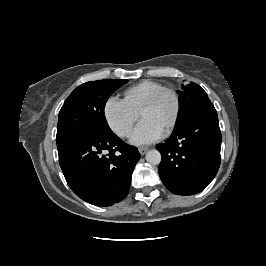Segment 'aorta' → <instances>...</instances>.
Here are the masks:
<instances>
[{"mask_svg": "<svg viewBox=\"0 0 266 266\" xmlns=\"http://www.w3.org/2000/svg\"><path fill=\"white\" fill-rule=\"evenodd\" d=\"M146 161L152 165H157L161 162V154L157 150H150L146 153Z\"/></svg>", "mask_w": 266, "mask_h": 266, "instance_id": "aorta-1", "label": "aorta"}]
</instances>
